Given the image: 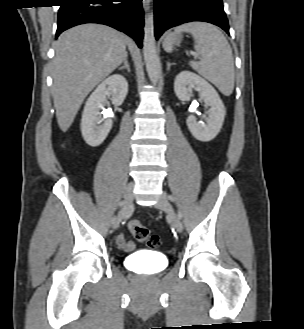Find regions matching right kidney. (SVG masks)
<instances>
[{"label": "right kidney", "instance_id": "1", "mask_svg": "<svg viewBox=\"0 0 304 329\" xmlns=\"http://www.w3.org/2000/svg\"><path fill=\"white\" fill-rule=\"evenodd\" d=\"M128 93V82L118 74L106 78L88 98L81 119V132L86 143L97 147L103 143L112 128V120L106 119L98 126L101 109L108 102L112 101L115 106H120Z\"/></svg>", "mask_w": 304, "mask_h": 329}]
</instances>
